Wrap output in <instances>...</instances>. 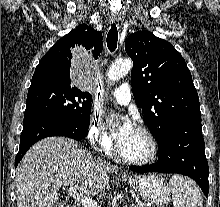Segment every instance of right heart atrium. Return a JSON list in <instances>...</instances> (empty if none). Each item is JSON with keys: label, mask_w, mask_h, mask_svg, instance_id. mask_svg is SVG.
Segmentation results:
<instances>
[{"label": "right heart atrium", "mask_w": 220, "mask_h": 207, "mask_svg": "<svg viewBox=\"0 0 220 207\" xmlns=\"http://www.w3.org/2000/svg\"><path fill=\"white\" fill-rule=\"evenodd\" d=\"M88 136L92 146L100 151L109 152L113 147L112 138L108 135L98 114L93 113L89 119Z\"/></svg>", "instance_id": "d8ad5b80"}]
</instances>
